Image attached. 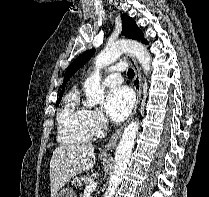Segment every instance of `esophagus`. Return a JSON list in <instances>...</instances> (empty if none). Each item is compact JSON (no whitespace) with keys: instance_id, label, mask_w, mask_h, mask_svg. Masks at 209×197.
Masks as SVG:
<instances>
[{"instance_id":"1","label":"esophagus","mask_w":209,"mask_h":197,"mask_svg":"<svg viewBox=\"0 0 209 197\" xmlns=\"http://www.w3.org/2000/svg\"><path fill=\"white\" fill-rule=\"evenodd\" d=\"M128 57V60L129 62L131 63L132 67H133V70L135 72V77H134V80H133V87H134V90L136 92V101H135V104H134V107H133V111L131 113V116L129 117V119L127 120V122L121 126L110 138L109 142L105 145V149L106 150H111L118 142L119 138L121 137L122 135V132L123 130L125 129L127 123H129L133 116L135 115L137 109H138V106H139V103L141 101V95H142V77H141V71H140V68L138 66V63L136 62V60L134 59L133 56L131 55H127Z\"/></svg>"}]
</instances>
